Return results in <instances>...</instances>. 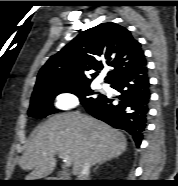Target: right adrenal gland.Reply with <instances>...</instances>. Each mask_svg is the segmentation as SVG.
Listing matches in <instances>:
<instances>
[{
	"label": "right adrenal gland",
	"mask_w": 178,
	"mask_h": 186,
	"mask_svg": "<svg viewBox=\"0 0 178 186\" xmlns=\"http://www.w3.org/2000/svg\"><path fill=\"white\" fill-rule=\"evenodd\" d=\"M104 162H100L98 166L95 167L94 171L100 166L102 165Z\"/></svg>",
	"instance_id": "obj_1"
}]
</instances>
